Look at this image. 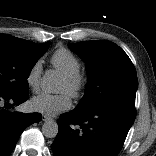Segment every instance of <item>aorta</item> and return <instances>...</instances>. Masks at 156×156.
<instances>
[{"mask_svg":"<svg viewBox=\"0 0 156 156\" xmlns=\"http://www.w3.org/2000/svg\"><path fill=\"white\" fill-rule=\"evenodd\" d=\"M57 87V79L52 71H48L41 79V88L45 92L53 93ZM58 124L54 120H47L42 125V133L47 138H55L58 133Z\"/></svg>","mask_w":156,"mask_h":156,"instance_id":"obj_1","label":"aorta"}]
</instances>
